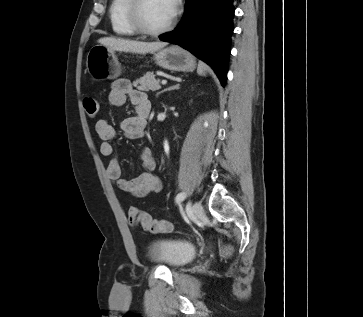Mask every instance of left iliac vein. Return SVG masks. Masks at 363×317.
I'll use <instances>...</instances> for the list:
<instances>
[{
	"instance_id": "4c4485c4",
	"label": "left iliac vein",
	"mask_w": 363,
	"mask_h": 317,
	"mask_svg": "<svg viewBox=\"0 0 363 317\" xmlns=\"http://www.w3.org/2000/svg\"><path fill=\"white\" fill-rule=\"evenodd\" d=\"M202 213H203V207L201 202L199 201L194 202L190 210V215L193 218H199L202 215Z\"/></svg>"
}]
</instances>
